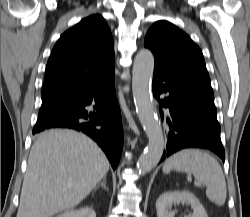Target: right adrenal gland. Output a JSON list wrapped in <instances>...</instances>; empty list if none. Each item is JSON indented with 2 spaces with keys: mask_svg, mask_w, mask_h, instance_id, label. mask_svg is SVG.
Segmentation results:
<instances>
[{
  "mask_svg": "<svg viewBox=\"0 0 250 217\" xmlns=\"http://www.w3.org/2000/svg\"><path fill=\"white\" fill-rule=\"evenodd\" d=\"M99 186H102V188H104L105 190H108V188L106 186V177L103 178L102 182L100 184H98V186L96 187L95 190H97V188H99Z\"/></svg>",
  "mask_w": 250,
  "mask_h": 217,
  "instance_id": "obj_1",
  "label": "right adrenal gland"
}]
</instances>
